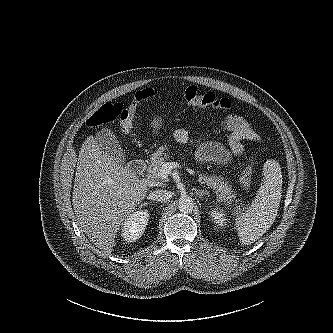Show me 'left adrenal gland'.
Masks as SVG:
<instances>
[{"mask_svg": "<svg viewBox=\"0 0 333 333\" xmlns=\"http://www.w3.org/2000/svg\"><path fill=\"white\" fill-rule=\"evenodd\" d=\"M195 193L199 198H202V196L204 195L209 196V192L207 190L204 191V190L195 189Z\"/></svg>", "mask_w": 333, "mask_h": 333, "instance_id": "a2214340", "label": "left adrenal gland"}]
</instances>
